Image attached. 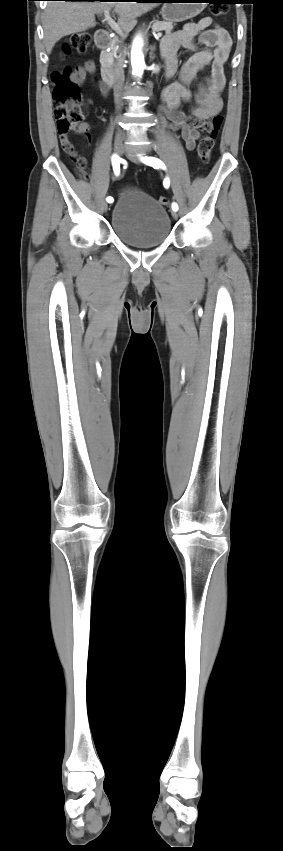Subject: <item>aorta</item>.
<instances>
[{
    "instance_id": "obj_1",
    "label": "aorta",
    "mask_w": 283,
    "mask_h": 851,
    "mask_svg": "<svg viewBox=\"0 0 283 851\" xmlns=\"http://www.w3.org/2000/svg\"><path fill=\"white\" fill-rule=\"evenodd\" d=\"M143 41L141 37H136L133 41L131 49V65L132 74L140 78L145 69L144 55L142 52Z\"/></svg>"
}]
</instances>
